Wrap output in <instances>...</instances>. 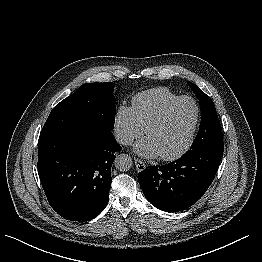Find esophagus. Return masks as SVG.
Masks as SVG:
<instances>
[{
    "mask_svg": "<svg viewBox=\"0 0 262 262\" xmlns=\"http://www.w3.org/2000/svg\"><path fill=\"white\" fill-rule=\"evenodd\" d=\"M134 161H135L136 169L138 171H143L146 168V165L143 161H141L137 158H135Z\"/></svg>",
    "mask_w": 262,
    "mask_h": 262,
    "instance_id": "34e87169",
    "label": "esophagus"
}]
</instances>
